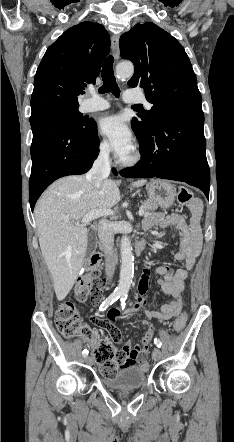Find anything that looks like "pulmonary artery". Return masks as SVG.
<instances>
[{
  "instance_id": "obj_1",
  "label": "pulmonary artery",
  "mask_w": 234,
  "mask_h": 442,
  "mask_svg": "<svg viewBox=\"0 0 234 442\" xmlns=\"http://www.w3.org/2000/svg\"><path fill=\"white\" fill-rule=\"evenodd\" d=\"M89 95L90 97L83 103L84 111L98 112L107 110L110 107L109 102L98 96L94 91H91ZM124 101L126 103H144L147 108L151 107V104L147 102L143 96L135 95L130 92L125 93Z\"/></svg>"
}]
</instances>
